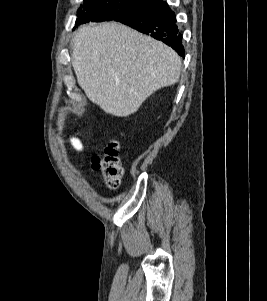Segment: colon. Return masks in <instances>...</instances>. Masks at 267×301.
<instances>
[{
  "label": "colon",
  "mask_w": 267,
  "mask_h": 301,
  "mask_svg": "<svg viewBox=\"0 0 267 301\" xmlns=\"http://www.w3.org/2000/svg\"><path fill=\"white\" fill-rule=\"evenodd\" d=\"M92 167L102 172L107 186L117 189L124 175L119 157V141L113 140L105 147L103 154L92 159Z\"/></svg>",
  "instance_id": "obj_1"
}]
</instances>
